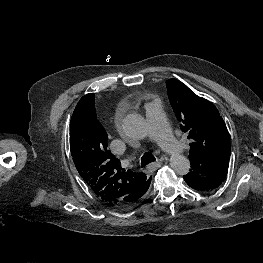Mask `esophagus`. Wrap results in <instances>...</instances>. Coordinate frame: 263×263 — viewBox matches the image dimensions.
I'll use <instances>...</instances> for the list:
<instances>
[{"label":"esophagus","instance_id":"1","mask_svg":"<svg viewBox=\"0 0 263 263\" xmlns=\"http://www.w3.org/2000/svg\"><path fill=\"white\" fill-rule=\"evenodd\" d=\"M161 164H162V160L161 159L157 160L156 162H153V163L149 164L147 166V169L149 171L156 170L157 168H159L161 166Z\"/></svg>","mask_w":263,"mask_h":263}]
</instances>
